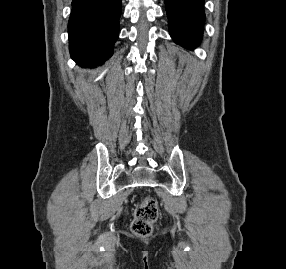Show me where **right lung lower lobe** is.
<instances>
[{
  "label": "right lung lower lobe",
  "instance_id": "right-lung-lower-lobe-1",
  "mask_svg": "<svg viewBox=\"0 0 286 269\" xmlns=\"http://www.w3.org/2000/svg\"><path fill=\"white\" fill-rule=\"evenodd\" d=\"M121 0H73L68 22L72 59L82 67L102 64L118 38Z\"/></svg>",
  "mask_w": 286,
  "mask_h": 269
}]
</instances>
